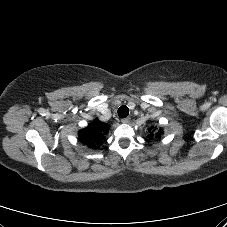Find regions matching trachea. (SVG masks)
I'll return each instance as SVG.
<instances>
[{
  "instance_id": "trachea-1",
  "label": "trachea",
  "mask_w": 227,
  "mask_h": 227,
  "mask_svg": "<svg viewBox=\"0 0 227 227\" xmlns=\"http://www.w3.org/2000/svg\"><path fill=\"white\" fill-rule=\"evenodd\" d=\"M129 115V109L127 106H121L119 109H118V116L120 118H125Z\"/></svg>"
}]
</instances>
